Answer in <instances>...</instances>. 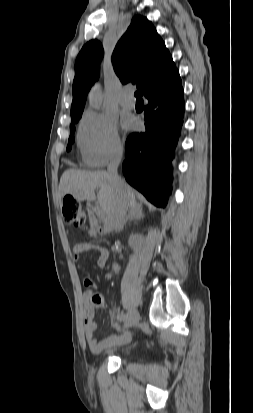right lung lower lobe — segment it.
I'll return each mask as SVG.
<instances>
[{
    "label": "right lung lower lobe",
    "instance_id": "right-lung-lower-lobe-1",
    "mask_svg": "<svg viewBox=\"0 0 253 413\" xmlns=\"http://www.w3.org/2000/svg\"><path fill=\"white\" fill-rule=\"evenodd\" d=\"M144 113L146 131L128 136L123 174L129 184L158 207L171 193V161L184 117L181 83L171 89H155Z\"/></svg>",
    "mask_w": 253,
    "mask_h": 413
}]
</instances>
